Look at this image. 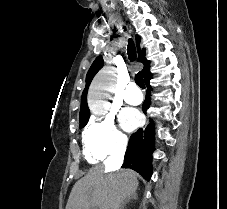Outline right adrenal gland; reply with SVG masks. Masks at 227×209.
I'll return each instance as SVG.
<instances>
[{"label":"right adrenal gland","instance_id":"obj_1","mask_svg":"<svg viewBox=\"0 0 227 209\" xmlns=\"http://www.w3.org/2000/svg\"><path fill=\"white\" fill-rule=\"evenodd\" d=\"M131 199H136V195L135 197H131ZM122 205H126V203H122ZM121 209H124V207H121Z\"/></svg>","mask_w":227,"mask_h":209}]
</instances>
